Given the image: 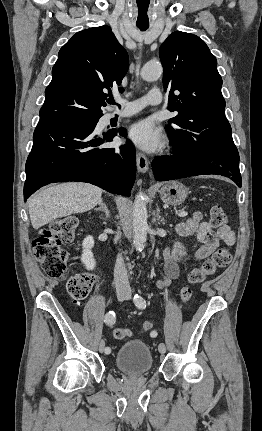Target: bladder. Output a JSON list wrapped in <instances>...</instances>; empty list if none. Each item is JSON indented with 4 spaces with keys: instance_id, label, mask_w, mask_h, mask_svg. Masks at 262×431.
Wrapping results in <instances>:
<instances>
[{
    "instance_id": "31cf9c89",
    "label": "bladder",
    "mask_w": 262,
    "mask_h": 431,
    "mask_svg": "<svg viewBox=\"0 0 262 431\" xmlns=\"http://www.w3.org/2000/svg\"><path fill=\"white\" fill-rule=\"evenodd\" d=\"M115 365L128 375H141L153 369V356L147 342L142 338L123 343L115 356Z\"/></svg>"
}]
</instances>
